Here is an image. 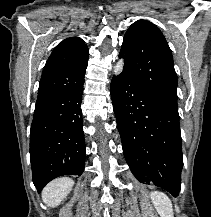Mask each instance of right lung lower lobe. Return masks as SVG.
Here are the masks:
<instances>
[{
	"mask_svg": "<svg viewBox=\"0 0 211 217\" xmlns=\"http://www.w3.org/2000/svg\"><path fill=\"white\" fill-rule=\"evenodd\" d=\"M84 75L72 87L36 102L30 132V161L38 193L54 178L80 176L84 170L80 108Z\"/></svg>",
	"mask_w": 211,
	"mask_h": 217,
	"instance_id": "right-lung-lower-lobe-1",
	"label": "right lung lower lobe"
}]
</instances>
